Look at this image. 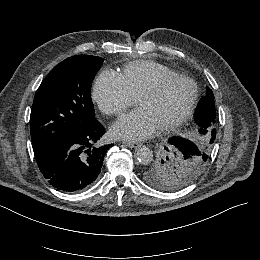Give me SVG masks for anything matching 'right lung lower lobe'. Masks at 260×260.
<instances>
[{
  "mask_svg": "<svg viewBox=\"0 0 260 260\" xmlns=\"http://www.w3.org/2000/svg\"><path fill=\"white\" fill-rule=\"evenodd\" d=\"M104 133L105 128L96 120L83 135L35 155L43 176L64 192H78L89 187L98 178L104 156L113 146L95 144Z\"/></svg>",
  "mask_w": 260,
  "mask_h": 260,
  "instance_id": "98d812e1",
  "label": "right lung lower lobe"
}]
</instances>
